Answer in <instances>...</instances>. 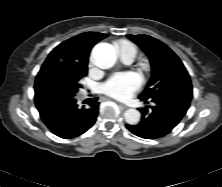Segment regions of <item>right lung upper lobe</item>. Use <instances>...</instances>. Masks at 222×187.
Segmentation results:
<instances>
[{"label": "right lung upper lobe", "mask_w": 222, "mask_h": 187, "mask_svg": "<svg viewBox=\"0 0 222 187\" xmlns=\"http://www.w3.org/2000/svg\"><path fill=\"white\" fill-rule=\"evenodd\" d=\"M107 35L97 32H85L58 45L47 57L44 67L59 65L60 61L87 64L91 48Z\"/></svg>", "instance_id": "right-lung-upper-lobe-1"}]
</instances>
